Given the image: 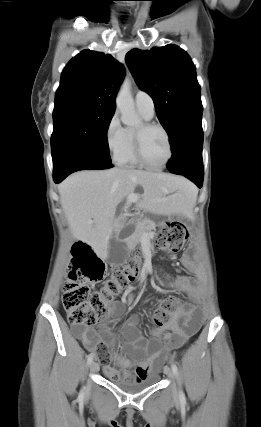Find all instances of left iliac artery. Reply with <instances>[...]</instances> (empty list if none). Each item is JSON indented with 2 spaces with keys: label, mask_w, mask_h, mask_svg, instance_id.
<instances>
[{
  "label": "left iliac artery",
  "mask_w": 261,
  "mask_h": 427,
  "mask_svg": "<svg viewBox=\"0 0 261 427\" xmlns=\"http://www.w3.org/2000/svg\"><path fill=\"white\" fill-rule=\"evenodd\" d=\"M171 368H172V371H173V373L176 375V376H178V368H177V365L175 364V363H172L171 364ZM179 396H180V399L181 400H185V395H184V393H183V391L180 389V391H179Z\"/></svg>",
  "instance_id": "left-iliac-artery-1"
}]
</instances>
